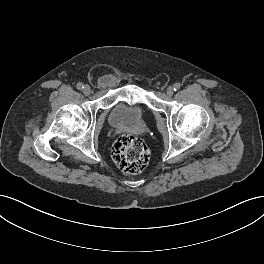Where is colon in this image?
Returning a JSON list of instances; mask_svg holds the SVG:
<instances>
[{
  "instance_id": "obj_1",
  "label": "colon",
  "mask_w": 264,
  "mask_h": 264,
  "mask_svg": "<svg viewBox=\"0 0 264 264\" xmlns=\"http://www.w3.org/2000/svg\"><path fill=\"white\" fill-rule=\"evenodd\" d=\"M112 158L122 171L136 174L146 168L149 150L141 139L132 135H122L113 144Z\"/></svg>"
}]
</instances>
